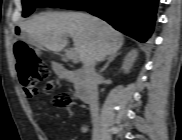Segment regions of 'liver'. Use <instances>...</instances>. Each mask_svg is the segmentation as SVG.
<instances>
[{
	"label": "liver",
	"mask_w": 182,
	"mask_h": 140,
	"mask_svg": "<svg viewBox=\"0 0 182 140\" xmlns=\"http://www.w3.org/2000/svg\"><path fill=\"white\" fill-rule=\"evenodd\" d=\"M38 46L59 52L67 45V37L73 38L74 51L84 65L103 61L116 53L124 38L105 21L86 13H42L20 24Z\"/></svg>",
	"instance_id": "6515ba94"
}]
</instances>
